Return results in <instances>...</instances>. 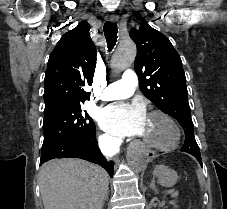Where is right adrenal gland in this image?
I'll return each instance as SVG.
<instances>
[{
    "instance_id": "2a0ac1e0",
    "label": "right adrenal gland",
    "mask_w": 227,
    "mask_h": 209,
    "mask_svg": "<svg viewBox=\"0 0 227 209\" xmlns=\"http://www.w3.org/2000/svg\"><path fill=\"white\" fill-rule=\"evenodd\" d=\"M104 201H108V193H107V195H105ZM103 205H104V203H103Z\"/></svg>"
}]
</instances>
